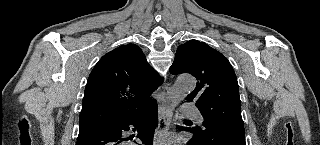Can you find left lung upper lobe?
<instances>
[{"instance_id":"1","label":"left lung upper lobe","mask_w":320,"mask_h":145,"mask_svg":"<svg viewBox=\"0 0 320 145\" xmlns=\"http://www.w3.org/2000/svg\"><path fill=\"white\" fill-rule=\"evenodd\" d=\"M170 73H190L198 81L186 97L196 102L204 118V128L194 127L196 134L219 128L244 133L237 78L224 55L204 42L189 40L178 47Z\"/></svg>"}]
</instances>
